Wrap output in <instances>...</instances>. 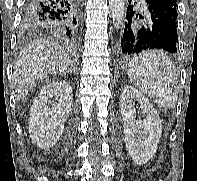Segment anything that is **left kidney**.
<instances>
[{"label":"left kidney","mask_w":197,"mask_h":181,"mask_svg":"<svg viewBox=\"0 0 197 181\" xmlns=\"http://www.w3.org/2000/svg\"><path fill=\"white\" fill-rule=\"evenodd\" d=\"M134 101L139 102L142 113L146 115L143 121L136 119ZM120 107L124 121V140L129 155L136 164H146L154 156L161 137L159 114L149 100L132 86L125 87Z\"/></svg>","instance_id":"left-kidney-1"}]
</instances>
